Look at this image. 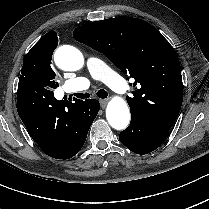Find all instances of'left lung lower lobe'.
I'll list each match as a JSON object with an SVG mask.
<instances>
[{
	"instance_id": "left-lung-lower-lobe-1",
	"label": "left lung lower lobe",
	"mask_w": 209,
	"mask_h": 209,
	"mask_svg": "<svg viewBox=\"0 0 209 209\" xmlns=\"http://www.w3.org/2000/svg\"><path fill=\"white\" fill-rule=\"evenodd\" d=\"M168 135V129L159 127L136 113H131L130 126L120 133L119 139L134 153L147 154L157 149Z\"/></svg>"
}]
</instances>
